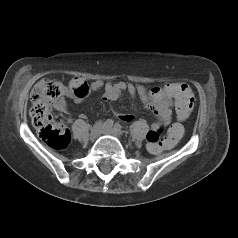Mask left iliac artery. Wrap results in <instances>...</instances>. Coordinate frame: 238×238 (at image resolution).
Listing matches in <instances>:
<instances>
[{"label":"left iliac artery","instance_id":"44dca946","mask_svg":"<svg viewBox=\"0 0 238 238\" xmlns=\"http://www.w3.org/2000/svg\"><path fill=\"white\" fill-rule=\"evenodd\" d=\"M114 129L120 133L122 132V126L119 123H116L114 125Z\"/></svg>","mask_w":238,"mask_h":238}]
</instances>
